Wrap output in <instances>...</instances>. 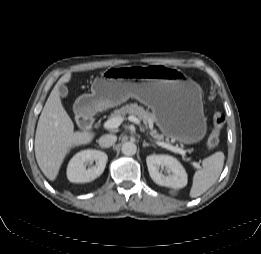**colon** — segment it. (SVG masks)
Instances as JSON below:
<instances>
[{"mask_svg":"<svg viewBox=\"0 0 261 254\" xmlns=\"http://www.w3.org/2000/svg\"><path fill=\"white\" fill-rule=\"evenodd\" d=\"M225 116L220 113V112H216L214 115H213V128H212V131L208 137V141H207V148L208 149H213L215 148L218 143H219V139H220V134H221V131L224 127V124H225Z\"/></svg>","mask_w":261,"mask_h":254,"instance_id":"5ec220e1","label":"colon"}]
</instances>
